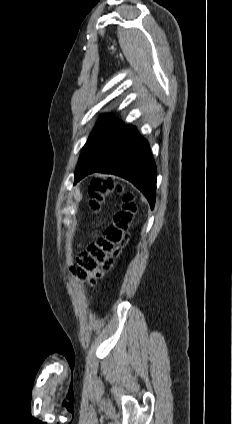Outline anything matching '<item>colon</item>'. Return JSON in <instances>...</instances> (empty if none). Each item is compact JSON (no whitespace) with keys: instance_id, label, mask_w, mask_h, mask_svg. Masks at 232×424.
<instances>
[{"instance_id":"colon-1","label":"colon","mask_w":232,"mask_h":424,"mask_svg":"<svg viewBox=\"0 0 232 424\" xmlns=\"http://www.w3.org/2000/svg\"><path fill=\"white\" fill-rule=\"evenodd\" d=\"M114 188L123 191L121 185L115 184L109 178H94L88 189L90 209L98 212L105 196ZM136 208L134 194L125 193L123 206L115 213L112 225L102 237L78 255L76 264L71 267L74 277L93 283L112 267L114 259L120 255L121 247L128 241L127 231L132 225Z\"/></svg>"}]
</instances>
